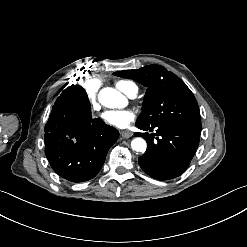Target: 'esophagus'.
I'll return each instance as SVG.
<instances>
[{
	"label": "esophagus",
	"instance_id": "esophagus-1",
	"mask_svg": "<svg viewBox=\"0 0 247 247\" xmlns=\"http://www.w3.org/2000/svg\"><path fill=\"white\" fill-rule=\"evenodd\" d=\"M121 136L125 139H128L133 136V132L128 131V130H123L121 131Z\"/></svg>",
	"mask_w": 247,
	"mask_h": 247
}]
</instances>
